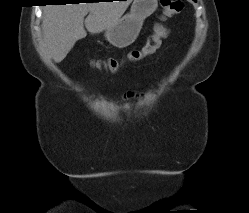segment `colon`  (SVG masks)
<instances>
[{"instance_id":"colon-1","label":"colon","mask_w":249,"mask_h":213,"mask_svg":"<svg viewBox=\"0 0 249 213\" xmlns=\"http://www.w3.org/2000/svg\"><path fill=\"white\" fill-rule=\"evenodd\" d=\"M161 6L163 8L162 22L155 26L153 33L148 37L142 49L130 52L127 60H140L155 53L160 47L161 41L167 36L168 31L164 21L180 14L184 8V3L182 0H161ZM121 63L117 59L110 58L106 61H96L93 64L97 68H105L110 72H115L119 69Z\"/></svg>"}]
</instances>
